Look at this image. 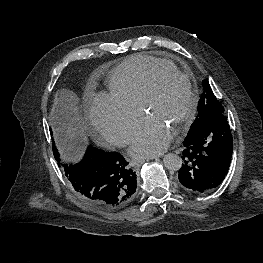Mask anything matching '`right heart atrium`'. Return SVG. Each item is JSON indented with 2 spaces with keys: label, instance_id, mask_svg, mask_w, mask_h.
Masks as SVG:
<instances>
[{
  "label": "right heart atrium",
  "instance_id": "d8ad5b80",
  "mask_svg": "<svg viewBox=\"0 0 263 263\" xmlns=\"http://www.w3.org/2000/svg\"><path fill=\"white\" fill-rule=\"evenodd\" d=\"M89 114L98 137L117 146H125L130 142L142 118L139 108L104 92L91 101Z\"/></svg>",
  "mask_w": 263,
  "mask_h": 263
}]
</instances>
